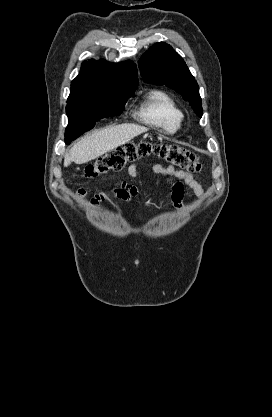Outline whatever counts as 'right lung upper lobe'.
Here are the masks:
<instances>
[{"label": "right lung upper lobe", "mask_w": 272, "mask_h": 417, "mask_svg": "<svg viewBox=\"0 0 272 417\" xmlns=\"http://www.w3.org/2000/svg\"><path fill=\"white\" fill-rule=\"evenodd\" d=\"M137 69L126 61L113 64L89 60L82 64L80 74L72 81L67 101H77L99 93H118L136 89Z\"/></svg>", "instance_id": "obj_1"}]
</instances>
